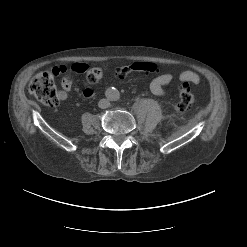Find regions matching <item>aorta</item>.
I'll use <instances>...</instances> for the list:
<instances>
[{"mask_svg":"<svg viewBox=\"0 0 247 247\" xmlns=\"http://www.w3.org/2000/svg\"><path fill=\"white\" fill-rule=\"evenodd\" d=\"M105 93L110 101H117L120 98L119 91L114 87L108 88Z\"/></svg>","mask_w":247,"mask_h":247,"instance_id":"obj_1","label":"aorta"}]
</instances>
